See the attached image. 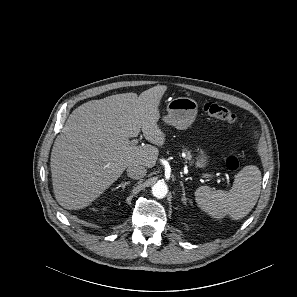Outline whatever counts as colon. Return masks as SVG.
Wrapping results in <instances>:
<instances>
[{"mask_svg": "<svg viewBox=\"0 0 297 297\" xmlns=\"http://www.w3.org/2000/svg\"><path fill=\"white\" fill-rule=\"evenodd\" d=\"M203 110L208 115L214 118L223 120L229 124L237 123V116L223 105L208 102L204 104ZM240 166H241L240 160L236 156H229L226 159V167L229 171L231 172L238 171Z\"/></svg>", "mask_w": 297, "mask_h": 297, "instance_id": "obj_1", "label": "colon"}]
</instances>
